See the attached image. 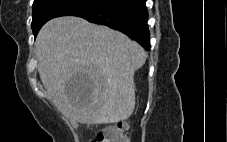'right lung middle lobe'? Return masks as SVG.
Instances as JSON below:
<instances>
[{
  "label": "right lung middle lobe",
  "mask_w": 227,
  "mask_h": 142,
  "mask_svg": "<svg viewBox=\"0 0 227 142\" xmlns=\"http://www.w3.org/2000/svg\"><path fill=\"white\" fill-rule=\"evenodd\" d=\"M111 0H34L32 29L36 36L40 28L50 19L74 15L106 5Z\"/></svg>",
  "instance_id": "right-lung-middle-lobe-1"
}]
</instances>
